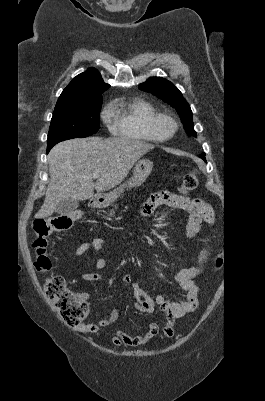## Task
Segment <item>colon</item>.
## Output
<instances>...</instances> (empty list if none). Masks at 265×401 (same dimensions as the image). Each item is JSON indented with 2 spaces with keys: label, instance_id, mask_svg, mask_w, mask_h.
<instances>
[{
  "label": "colon",
  "instance_id": "obj_1",
  "mask_svg": "<svg viewBox=\"0 0 265 401\" xmlns=\"http://www.w3.org/2000/svg\"><path fill=\"white\" fill-rule=\"evenodd\" d=\"M198 173L192 171L186 174L180 184V191L189 194L198 186ZM82 218L80 210H73L58 216L38 218L33 222V238L31 246L35 250V268L39 272H48L51 261L46 254L47 239L54 233L69 229L76 221ZM224 264V252H220L214 263V270L221 268ZM44 293L50 299L60 318L69 326H77L82 323L88 314V303L84 298L68 289L63 277L52 275L45 279ZM163 333L167 337L174 334L173 328L166 325Z\"/></svg>",
  "mask_w": 265,
  "mask_h": 401
}]
</instances>
